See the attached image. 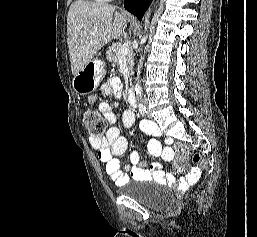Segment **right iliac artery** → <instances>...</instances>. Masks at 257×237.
Here are the masks:
<instances>
[{
  "label": "right iliac artery",
  "instance_id": "right-iliac-artery-1",
  "mask_svg": "<svg viewBox=\"0 0 257 237\" xmlns=\"http://www.w3.org/2000/svg\"><path fill=\"white\" fill-rule=\"evenodd\" d=\"M139 111L143 116L147 113L146 107L142 103L139 104Z\"/></svg>",
  "mask_w": 257,
  "mask_h": 237
}]
</instances>
